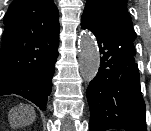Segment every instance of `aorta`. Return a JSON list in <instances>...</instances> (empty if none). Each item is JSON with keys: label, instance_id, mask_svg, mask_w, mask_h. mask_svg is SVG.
Segmentation results:
<instances>
[{"label": "aorta", "instance_id": "obj_1", "mask_svg": "<svg viewBox=\"0 0 151 131\" xmlns=\"http://www.w3.org/2000/svg\"><path fill=\"white\" fill-rule=\"evenodd\" d=\"M80 73L86 82L92 81L100 67V54L94 38L88 32L79 40Z\"/></svg>", "mask_w": 151, "mask_h": 131}]
</instances>
